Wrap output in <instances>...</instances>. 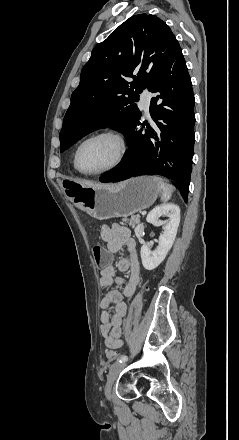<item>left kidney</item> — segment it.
Masks as SVG:
<instances>
[{"instance_id": "1", "label": "left kidney", "mask_w": 239, "mask_h": 440, "mask_svg": "<svg viewBox=\"0 0 239 440\" xmlns=\"http://www.w3.org/2000/svg\"><path fill=\"white\" fill-rule=\"evenodd\" d=\"M160 216H167L169 222H166L159 236V242L156 250H150V246H142L141 260L145 270H155L163 260H165L169 250H171L176 238L178 226L180 224V208L176 204H161L149 212L146 220L149 224H160Z\"/></svg>"}]
</instances>
